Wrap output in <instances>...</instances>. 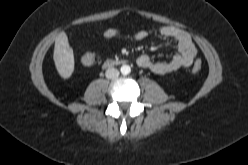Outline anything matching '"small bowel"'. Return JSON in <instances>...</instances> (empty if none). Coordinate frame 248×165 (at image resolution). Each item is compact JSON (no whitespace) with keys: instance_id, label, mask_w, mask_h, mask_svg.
Segmentation results:
<instances>
[{"instance_id":"1","label":"small bowel","mask_w":248,"mask_h":165,"mask_svg":"<svg viewBox=\"0 0 248 165\" xmlns=\"http://www.w3.org/2000/svg\"><path fill=\"white\" fill-rule=\"evenodd\" d=\"M158 33L165 38L173 40L177 45L178 53L167 61H156L149 55H140L136 60L140 68L158 75H165L188 68L193 64L197 55V49L191 36L186 31L174 26H162L158 29ZM103 36L106 39L121 38L130 42H139L146 39L148 33L144 30L128 33L121 29L110 28L104 32Z\"/></svg>"}]
</instances>
